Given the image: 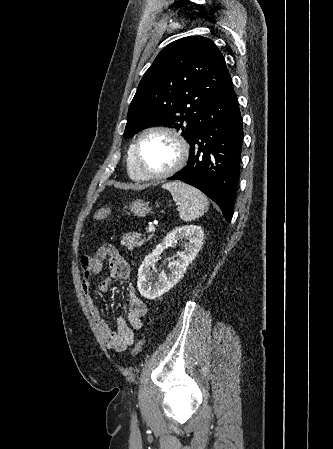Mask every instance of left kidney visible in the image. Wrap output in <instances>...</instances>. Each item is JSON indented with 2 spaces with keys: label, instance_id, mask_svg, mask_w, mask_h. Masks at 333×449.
Returning a JSON list of instances; mask_svg holds the SVG:
<instances>
[{
  "label": "left kidney",
  "instance_id": "left-kidney-1",
  "mask_svg": "<svg viewBox=\"0 0 333 449\" xmlns=\"http://www.w3.org/2000/svg\"><path fill=\"white\" fill-rule=\"evenodd\" d=\"M203 238L204 230L197 225H185L169 232L162 242L144 258L138 269L137 286L140 294L147 299H155L176 285L200 251ZM177 244L181 245L182 250L177 252L179 258L169 263L170 274H159V280L152 286L148 282L150 277L149 269L154 266L165 249Z\"/></svg>",
  "mask_w": 333,
  "mask_h": 449
}]
</instances>
